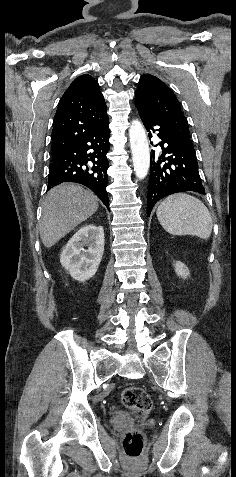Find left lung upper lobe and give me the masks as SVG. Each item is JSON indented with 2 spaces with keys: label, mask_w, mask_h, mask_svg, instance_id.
<instances>
[{
  "label": "left lung upper lobe",
  "mask_w": 236,
  "mask_h": 477,
  "mask_svg": "<svg viewBox=\"0 0 236 477\" xmlns=\"http://www.w3.org/2000/svg\"><path fill=\"white\" fill-rule=\"evenodd\" d=\"M135 104L150 113L176 139L193 147L188 123L180 104L170 88L160 79L150 74L142 75L135 92Z\"/></svg>",
  "instance_id": "1"
}]
</instances>
